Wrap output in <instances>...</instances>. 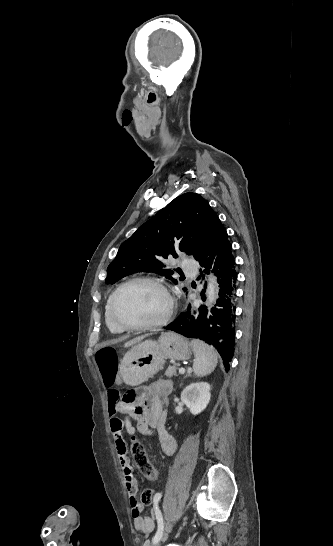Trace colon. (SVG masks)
Returning a JSON list of instances; mask_svg holds the SVG:
<instances>
[{
	"instance_id": "colon-1",
	"label": "colon",
	"mask_w": 333,
	"mask_h": 546,
	"mask_svg": "<svg viewBox=\"0 0 333 546\" xmlns=\"http://www.w3.org/2000/svg\"><path fill=\"white\" fill-rule=\"evenodd\" d=\"M96 364L103 377L104 382L107 385H112L115 381V375L117 372V357L116 352L111 347H104L99 349L95 354ZM119 398L118 392L115 390H109V401L111 403L117 402ZM137 394L135 391L128 392L123 397V402L128 407L135 405ZM131 453L135 464L142 475L147 478L156 475L157 470L150 462L145 446L139 440L133 438L131 441ZM155 493L152 489H146L141 493L140 502L142 505H150L153 503Z\"/></svg>"
}]
</instances>
